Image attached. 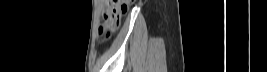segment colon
<instances>
[{"label":"colon","mask_w":267,"mask_h":72,"mask_svg":"<svg viewBox=\"0 0 267 72\" xmlns=\"http://www.w3.org/2000/svg\"><path fill=\"white\" fill-rule=\"evenodd\" d=\"M134 2V0H109L108 13L104 17V24L99 29V35L101 37H109L110 34L115 31L122 19L127 13L128 7ZM105 14V12H104Z\"/></svg>","instance_id":"5ec220e1"}]
</instances>
